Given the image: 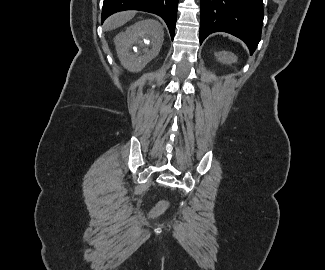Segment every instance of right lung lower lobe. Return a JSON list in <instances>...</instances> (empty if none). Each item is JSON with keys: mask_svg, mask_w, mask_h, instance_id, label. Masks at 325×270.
I'll list each match as a JSON object with an SVG mask.
<instances>
[{"mask_svg": "<svg viewBox=\"0 0 325 270\" xmlns=\"http://www.w3.org/2000/svg\"><path fill=\"white\" fill-rule=\"evenodd\" d=\"M178 0H104L102 22L111 14L123 10H141L160 16L174 38Z\"/></svg>", "mask_w": 325, "mask_h": 270, "instance_id": "1", "label": "right lung lower lobe"}]
</instances>
